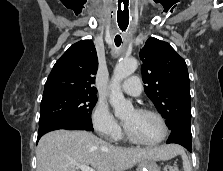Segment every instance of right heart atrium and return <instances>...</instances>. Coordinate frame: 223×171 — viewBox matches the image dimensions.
Masks as SVG:
<instances>
[{"mask_svg": "<svg viewBox=\"0 0 223 171\" xmlns=\"http://www.w3.org/2000/svg\"><path fill=\"white\" fill-rule=\"evenodd\" d=\"M92 124L95 131L102 137L115 140L121 134V128L107 105L97 103L92 113Z\"/></svg>", "mask_w": 223, "mask_h": 171, "instance_id": "1", "label": "right heart atrium"}]
</instances>
